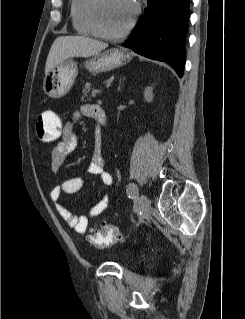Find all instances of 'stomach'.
<instances>
[{
	"mask_svg": "<svg viewBox=\"0 0 245 319\" xmlns=\"http://www.w3.org/2000/svg\"><path fill=\"white\" fill-rule=\"evenodd\" d=\"M130 59L131 56L126 51L114 48L95 55L84 64L89 71L102 72L119 67ZM77 74V63L72 59L64 60L45 75L44 92L54 99L63 97L73 86Z\"/></svg>",
	"mask_w": 245,
	"mask_h": 319,
	"instance_id": "1",
	"label": "stomach"
}]
</instances>
